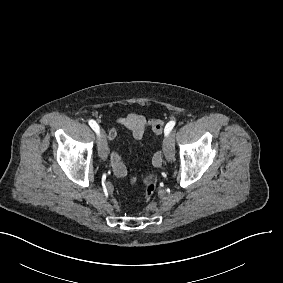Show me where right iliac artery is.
I'll return each instance as SVG.
<instances>
[{
  "mask_svg": "<svg viewBox=\"0 0 283 283\" xmlns=\"http://www.w3.org/2000/svg\"><path fill=\"white\" fill-rule=\"evenodd\" d=\"M89 125L91 126V128L96 132L99 133V126L96 123V121L94 120H89Z\"/></svg>",
  "mask_w": 283,
  "mask_h": 283,
  "instance_id": "obj_1",
  "label": "right iliac artery"
}]
</instances>
